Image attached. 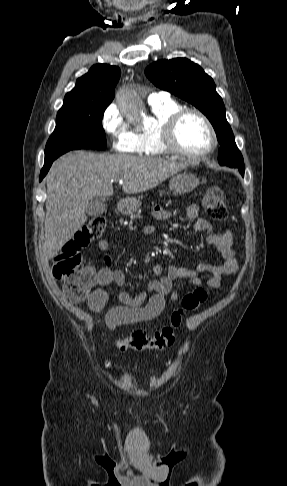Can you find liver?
Wrapping results in <instances>:
<instances>
[{
	"instance_id": "1",
	"label": "liver",
	"mask_w": 287,
	"mask_h": 486,
	"mask_svg": "<svg viewBox=\"0 0 287 486\" xmlns=\"http://www.w3.org/2000/svg\"><path fill=\"white\" fill-rule=\"evenodd\" d=\"M187 167V162L81 150L61 156L46 176L47 258H53L85 224L92 198L113 194V181L122 179L125 193H141Z\"/></svg>"
}]
</instances>
